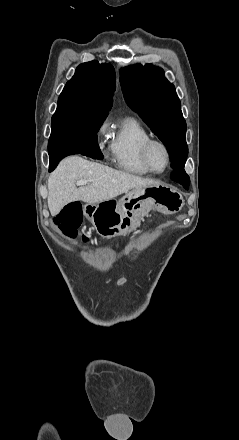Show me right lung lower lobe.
<instances>
[{"label":"right lung lower lobe","instance_id":"obj_1","mask_svg":"<svg viewBox=\"0 0 239 440\" xmlns=\"http://www.w3.org/2000/svg\"><path fill=\"white\" fill-rule=\"evenodd\" d=\"M71 154H82L93 159H103V155L100 151L98 144H88L85 146L77 147L68 151L55 153L53 155H49L50 158V171H52L58 164V162Z\"/></svg>","mask_w":239,"mask_h":440}]
</instances>
